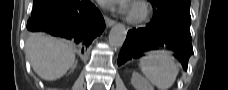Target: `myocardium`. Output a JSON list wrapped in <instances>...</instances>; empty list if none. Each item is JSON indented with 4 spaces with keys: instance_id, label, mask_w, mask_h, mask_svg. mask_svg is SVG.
Masks as SVG:
<instances>
[{
    "instance_id": "f54148a6",
    "label": "myocardium",
    "mask_w": 228,
    "mask_h": 90,
    "mask_svg": "<svg viewBox=\"0 0 228 90\" xmlns=\"http://www.w3.org/2000/svg\"><path fill=\"white\" fill-rule=\"evenodd\" d=\"M149 17V8L142 1H136L132 4L127 15V21L131 24H141Z\"/></svg>"
}]
</instances>
